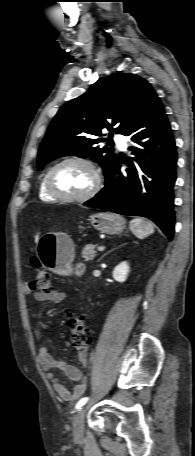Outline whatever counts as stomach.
I'll list each match as a JSON object with an SVG mask.
<instances>
[{
    "mask_svg": "<svg viewBox=\"0 0 195 456\" xmlns=\"http://www.w3.org/2000/svg\"><path fill=\"white\" fill-rule=\"evenodd\" d=\"M92 226L106 234H119L126 226L120 215L109 212H98L90 216ZM39 259L45 268L58 274H69L74 259V244L66 233L45 234L38 244Z\"/></svg>",
    "mask_w": 195,
    "mask_h": 456,
    "instance_id": "1",
    "label": "stomach"
}]
</instances>
